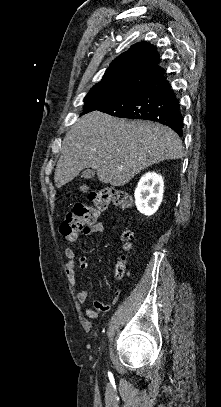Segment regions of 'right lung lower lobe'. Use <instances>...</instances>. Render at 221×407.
<instances>
[{
    "mask_svg": "<svg viewBox=\"0 0 221 407\" xmlns=\"http://www.w3.org/2000/svg\"><path fill=\"white\" fill-rule=\"evenodd\" d=\"M98 110L121 118L159 122L172 128L179 136L183 134L179 100L163 72L128 95Z\"/></svg>",
    "mask_w": 221,
    "mask_h": 407,
    "instance_id": "obj_1",
    "label": "right lung lower lobe"
}]
</instances>
